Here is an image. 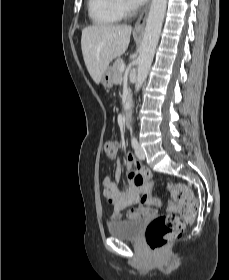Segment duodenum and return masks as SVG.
<instances>
[{
	"label": "duodenum",
	"instance_id": "410a0bca",
	"mask_svg": "<svg viewBox=\"0 0 229 280\" xmlns=\"http://www.w3.org/2000/svg\"><path fill=\"white\" fill-rule=\"evenodd\" d=\"M131 120H132L131 119V109H130L129 101L126 100L125 107H124V124L127 127H130Z\"/></svg>",
	"mask_w": 229,
	"mask_h": 280
}]
</instances>
